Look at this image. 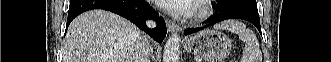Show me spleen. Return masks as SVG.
Segmentation results:
<instances>
[{
	"instance_id": "spleen-1",
	"label": "spleen",
	"mask_w": 331,
	"mask_h": 62,
	"mask_svg": "<svg viewBox=\"0 0 331 62\" xmlns=\"http://www.w3.org/2000/svg\"><path fill=\"white\" fill-rule=\"evenodd\" d=\"M216 29L228 30L239 36L245 43L241 62H262V53L255 34L239 21L226 20L214 26Z\"/></svg>"
}]
</instances>
